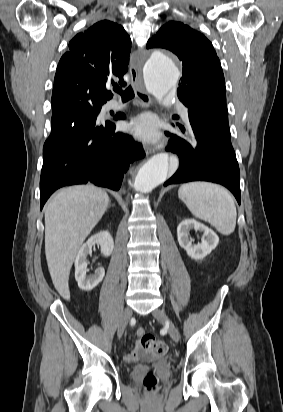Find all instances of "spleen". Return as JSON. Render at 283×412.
Masks as SVG:
<instances>
[{"label":"spleen","mask_w":283,"mask_h":412,"mask_svg":"<svg viewBox=\"0 0 283 412\" xmlns=\"http://www.w3.org/2000/svg\"><path fill=\"white\" fill-rule=\"evenodd\" d=\"M178 196L196 218L210 223L223 235L234 232L236 206L223 187L208 182H190L179 188Z\"/></svg>","instance_id":"obj_1"}]
</instances>
